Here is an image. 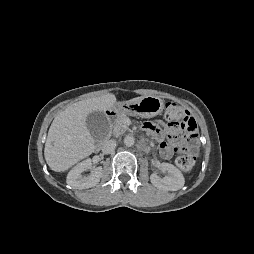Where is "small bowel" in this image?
I'll return each mask as SVG.
<instances>
[{"label": "small bowel", "instance_id": "small-bowel-1", "mask_svg": "<svg viewBox=\"0 0 254 254\" xmlns=\"http://www.w3.org/2000/svg\"><path fill=\"white\" fill-rule=\"evenodd\" d=\"M143 128L159 142L160 154L164 159H170L173 155V146L183 141L179 130L175 128L168 127L166 130L167 136L171 143L165 140L163 132L156 123L146 122L143 124Z\"/></svg>", "mask_w": 254, "mask_h": 254}]
</instances>
